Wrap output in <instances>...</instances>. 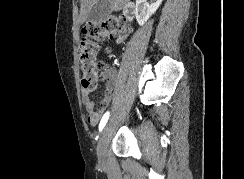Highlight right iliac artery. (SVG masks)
Segmentation results:
<instances>
[{
  "label": "right iliac artery",
  "mask_w": 244,
  "mask_h": 179,
  "mask_svg": "<svg viewBox=\"0 0 244 179\" xmlns=\"http://www.w3.org/2000/svg\"><path fill=\"white\" fill-rule=\"evenodd\" d=\"M109 119V112H106L101 121H100V124H99V131H102V129L104 128V126L106 125L107 121Z\"/></svg>",
  "instance_id": "obj_1"
}]
</instances>
